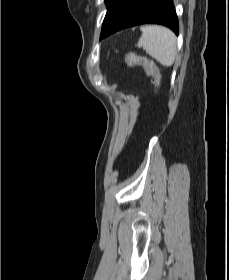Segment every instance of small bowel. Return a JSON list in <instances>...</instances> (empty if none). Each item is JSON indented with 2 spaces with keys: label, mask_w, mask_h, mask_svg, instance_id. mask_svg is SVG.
Returning a JSON list of instances; mask_svg holds the SVG:
<instances>
[{
  "label": "small bowel",
  "mask_w": 229,
  "mask_h": 280,
  "mask_svg": "<svg viewBox=\"0 0 229 280\" xmlns=\"http://www.w3.org/2000/svg\"><path fill=\"white\" fill-rule=\"evenodd\" d=\"M142 67L145 69L146 73H147L148 75H150L149 72H148V70H147V66H142Z\"/></svg>",
  "instance_id": "c3829d8e"
}]
</instances>
